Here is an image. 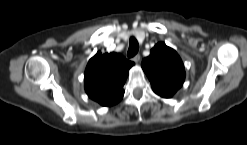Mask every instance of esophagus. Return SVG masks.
Listing matches in <instances>:
<instances>
[{
  "label": "esophagus",
  "instance_id": "esophagus-1",
  "mask_svg": "<svg viewBox=\"0 0 247 145\" xmlns=\"http://www.w3.org/2000/svg\"><path fill=\"white\" fill-rule=\"evenodd\" d=\"M132 60L138 63L140 61V55L139 54L135 55L134 57H132Z\"/></svg>",
  "mask_w": 247,
  "mask_h": 145
}]
</instances>
